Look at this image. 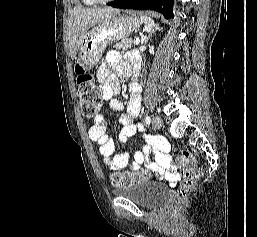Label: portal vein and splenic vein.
I'll return each instance as SVG.
<instances>
[{
	"label": "portal vein and splenic vein",
	"instance_id": "18ae733b",
	"mask_svg": "<svg viewBox=\"0 0 257 237\" xmlns=\"http://www.w3.org/2000/svg\"><path fill=\"white\" fill-rule=\"evenodd\" d=\"M133 43H134L135 45H138V44L140 43V39H139V38H135Z\"/></svg>",
	"mask_w": 257,
	"mask_h": 237
}]
</instances>
